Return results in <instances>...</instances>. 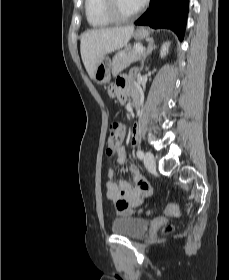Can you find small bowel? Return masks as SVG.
<instances>
[{"label": "small bowel", "mask_w": 229, "mask_h": 280, "mask_svg": "<svg viewBox=\"0 0 229 280\" xmlns=\"http://www.w3.org/2000/svg\"><path fill=\"white\" fill-rule=\"evenodd\" d=\"M107 93L112 98L120 103H125L130 95L139 94L138 90L133 82L132 74H124L119 76L115 82L111 83L107 87ZM138 127L134 125L132 129V144L135 145L138 140ZM113 156L118 165L125 163V150L122 146H118L113 152ZM128 173L131 175L133 181L136 184V188L131 186L126 181L115 182L114 167L108 170V182H107V195L112 206L118 216H129L134 208L138 207L143 198L151 193V187L149 183L142 177L137 166H130ZM132 198L133 202L131 205L126 207H120L117 205V201L122 199Z\"/></svg>", "instance_id": "obj_1"}]
</instances>
